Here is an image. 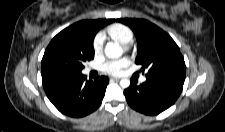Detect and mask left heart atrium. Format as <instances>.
<instances>
[{
  "label": "left heart atrium",
  "instance_id": "39dd6f15",
  "mask_svg": "<svg viewBox=\"0 0 225 132\" xmlns=\"http://www.w3.org/2000/svg\"><path fill=\"white\" fill-rule=\"evenodd\" d=\"M128 59L127 58H120L116 60H109L106 61L101 65V70L104 73L110 74V75H117L121 72V70L127 66Z\"/></svg>",
  "mask_w": 225,
  "mask_h": 132
}]
</instances>
